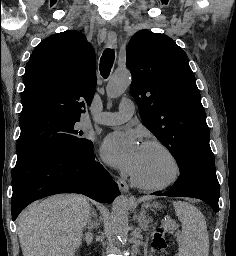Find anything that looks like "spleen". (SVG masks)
I'll return each instance as SVG.
<instances>
[{
  "label": "spleen",
  "mask_w": 236,
  "mask_h": 256,
  "mask_svg": "<svg viewBox=\"0 0 236 256\" xmlns=\"http://www.w3.org/2000/svg\"><path fill=\"white\" fill-rule=\"evenodd\" d=\"M182 234L176 256H209V234L205 218L193 204L174 202Z\"/></svg>",
  "instance_id": "spleen-1"
}]
</instances>
